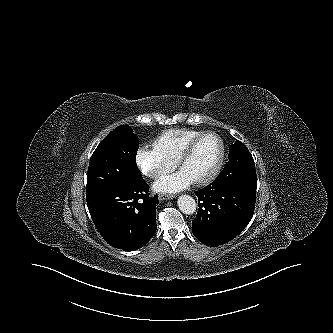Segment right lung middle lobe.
Wrapping results in <instances>:
<instances>
[{
    "label": "right lung middle lobe",
    "instance_id": "dd1d6c3e",
    "mask_svg": "<svg viewBox=\"0 0 333 333\" xmlns=\"http://www.w3.org/2000/svg\"><path fill=\"white\" fill-rule=\"evenodd\" d=\"M138 148L137 136L129 126H118L110 132L91 156L86 198L141 180L142 175L136 165Z\"/></svg>",
    "mask_w": 333,
    "mask_h": 333
}]
</instances>
